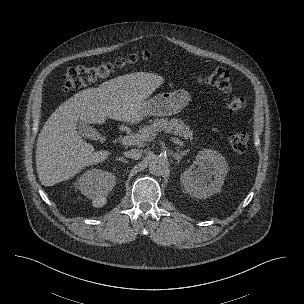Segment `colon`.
Instances as JSON below:
<instances>
[{
    "label": "colon",
    "instance_id": "colon-1",
    "mask_svg": "<svg viewBox=\"0 0 304 304\" xmlns=\"http://www.w3.org/2000/svg\"><path fill=\"white\" fill-rule=\"evenodd\" d=\"M150 56L148 52L141 55L143 59H148ZM138 59V55L131 54L125 58L96 66H77L70 68L62 77L61 88L64 91H69L101 81L113 74L117 69L128 64H133ZM198 80L226 93L224 104L229 113H237L245 107L246 100L242 96L230 93L232 83L230 72L227 69L222 67L216 68L207 74L199 76ZM248 140V134L243 131L231 132L228 135L230 146L238 153L246 151Z\"/></svg>",
    "mask_w": 304,
    "mask_h": 304
}]
</instances>
